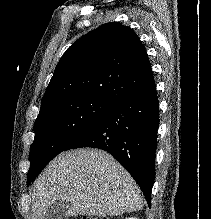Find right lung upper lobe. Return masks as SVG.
Listing matches in <instances>:
<instances>
[{"instance_id":"obj_1","label":"right lung upper lobe","mask_w":211,"mask_h":219,"mask_svg":"<svg viewBox=\"0 0 211 219\" xmlns=\"http://www.w3.org/2000/svg\"><path fill=\"white\" fill-rule=\"evenodd\" d=\"M152 80L139 37L120 23H106L75 41L61 57L39 115L55 103L74 98L100 97L116 103Z\"/></svg>"}]
</instances>
